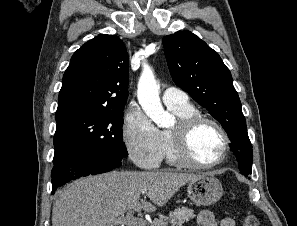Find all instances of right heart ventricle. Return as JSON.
<instances>
[{
    "mask_svg": "<svg viewBox=\"0 0 297 226\" xmlns=\"http://www.w3.org/2000/svg\"><path fill=\"white\" fill-rule=\"evenodd\" d=\"M169 110L174 113L179 119L188 118L194 115H198V111L194 106L189 105L186 107L167 106ZM163 145H164V157L170 165L179 166L180 163L175 156L168 131L161 132Z\"/></svg>",
    "mask_w": 297,
    "mask_h": 226,
    "instance_id": "right-heart-ventricle-1",
    "label": "right heart ventricle"
}]
</instances>
